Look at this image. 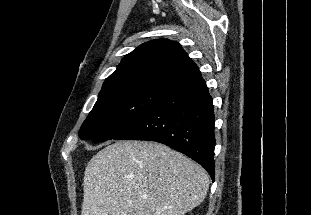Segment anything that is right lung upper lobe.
I'll use <instances>...</instances> for the list:
<instances>
[{"label":"right lung upper lobe","instance_id":"obj_1","mask_svg":"<svg viewBox=\"0 0 311 215\" xmlns=\"http://www.w3.org/2000/svg\"><path fill=\"white\" fill-rule=\"evenodd\" d=\"M196 69L197 65L179 43L156 39L143 43L127 54L105 80L102 90L126 84H171Z\"/></svg>","mask_w":311,"mask_h":215}]
</instances>
